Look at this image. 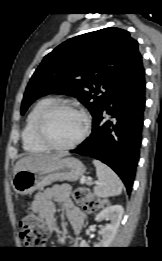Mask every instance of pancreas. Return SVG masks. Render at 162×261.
Listing matches in <instances>:
<instances>
[{
    "label": "pancreas",
    "mask_w": 162,
    "mask_h": 261,
    "mask_svg": "<svg viewBox=\"0 0 162 261\" xmlns=\"http://www.w3.org/2000/svg\"><path fill=\"white\" fill-rule=\"evenodd\" d=\"M85 183H86V184H90L91 182H90L89 180H86Z\"/></svg>",
    "instance_id": "cf45deb5"
}]
</instances>
